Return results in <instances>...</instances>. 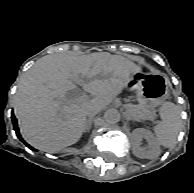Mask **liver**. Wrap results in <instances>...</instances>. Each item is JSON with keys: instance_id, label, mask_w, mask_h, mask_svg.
Listing matches in <instances>:
<instances>
[{"instance_id": "obj_1", "label": "liver", "mask_w": 194, "mask_h": 193, "mask_svg": "<svg viewBox=\"0 0 194 193\" xmlns=\"http://www.w3.org/2000/svg\"><path fill=\"white\" fill-rule=\"evenodd\" d=\"M140 71L129 59L108 52L40 58L20 79L14 99L22 137L49 153L75 144L86 131L87 112L112 103ZM76 83L93 98L69 99Z\"/></svg>"}]
</instances>
